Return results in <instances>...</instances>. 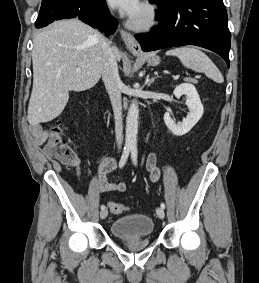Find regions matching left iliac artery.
Instances as JSON below:
<instances>
[{
    "label": "left iliac artery",
    "instance_id": "obj_1",
    "mask_svg": "<svg viewBox=\"0 0 259 283\" xmlns=\"http://www.w3.org/2000/svg\"><path fill=\"white\" fill-rule=\"evenodd\" d=\"M137 154H138L137 147L133 146L131 148V158H132V161H133L134 165H137ZM160 206H161L162 209H165V204L164 203H161Z\"/></svg>",
    "mask_w": 259,
    "mask_h": 283
}]
</instances>
